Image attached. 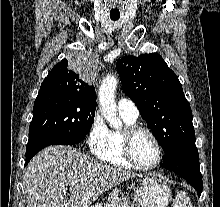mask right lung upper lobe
<instances>
[{
  "label": "right lung upper lobe",
  "mask_w": 220,
  "mask_h": 207,
  "mask_svg": "<svg viewBox=\"0 0 220 207\" xmlns=\"http://www.w3.org/2000/svg\"><path fill=\"white\" fill-rule=\"evenodd\" d=\"M40 91L69 92L96 100L94 86L85 83L79 74L70 70L67 59H63L53 67L42 82Z\"/></svg>",
  "instance_id": "cb5924a9"
}]
</instances>
